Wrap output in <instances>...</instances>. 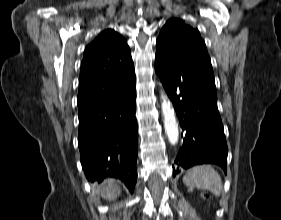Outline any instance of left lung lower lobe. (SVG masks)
<instances>
[{"mask_svg": "<svg viewBox=\"0 0 281 220\" xmlns=\"http://www.w3.org/2000/svg\"><path fill=\"white\" fill-rule=\"evenodd\" d=\"M155 71L183 129L173 176L204 163L217 164L226 172L228 148L217 108L214 77L179 58H155Z\"/></svg>", "mask_w": 281, "mask_h": 220, "instance_id": "1", "label": "left lung lower lobe"}]
</instances>
